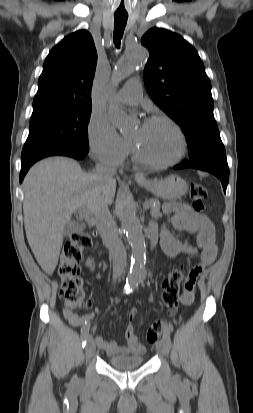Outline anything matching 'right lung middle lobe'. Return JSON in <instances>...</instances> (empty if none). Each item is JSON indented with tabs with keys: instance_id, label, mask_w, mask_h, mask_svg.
<instances>
[{
	"instance_id": "right-lung-middle-lobe-1",
	"label": "right lung middle lobe",
	"mask_w": 253,
	"mask_h": 413,
	"mask_svg": "<svg viewBox=\"0 0 253 413\" xmlns=\"http://www.w3.org/2000/svg\"><path fill=\"white\" fill-rule=\"evenodd\" d=\"M91 111L92 106L33 112L22 158L59 149L88 152L87 128Z\"/></svg>"
}]
</instances>
